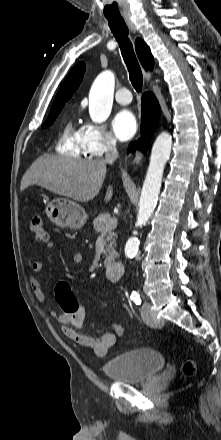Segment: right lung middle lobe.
Here are the masks:
<instances>
[{"label":"right lung middle lobe","mask_w":221,"mask_h":440,"mask_svg":"<svg viewBox=\"0 0 221 440\" xmlns=\"http://www.w3.org/2000/svg\"><path fill=\"white\" fill-rule=\"evenodd\" d=\"M62 108H63V106H59V107L51 109L49 116H48V119L46 120V122L44 123L42 128H47L48 126H50L55 121L56 117L58 116V114L60 113Z\"/></svg>","instance_id":"1"}]
</instances>
